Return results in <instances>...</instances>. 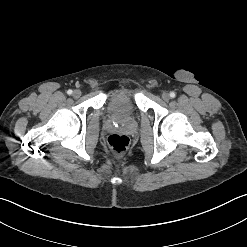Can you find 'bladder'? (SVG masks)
Segmentation results:
<instances>
[{
    "label": "bladder",
    "mask_w": 247,
    "mask_h": 247,
    "mask_svg": "<svg viewBox=\"0 0 247 247\" xmlns=\"http://www.w3.org/2000/svg\"><path fill=\"white\" fill-rule=\"evenodd\" d=\"M135 110V95L132 90L112 92L109 96L108 111L115 116L125 117Z\"/></svg>",
    "instance_id": "1"
}]
</instances>
